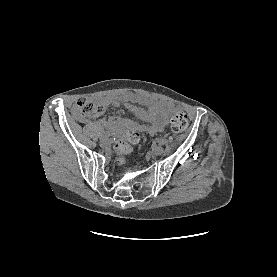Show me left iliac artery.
Returning a JSON list of instances; mask_svg holds the SVG:
<instances>
[{"label":"left iliac artery","mask_w":277,"mask_h":277,"mask_svg":"<svg viewBox=\"0 0 277 277\" xmlns=\"http://www.w3.org/2000/svg\"><path fill=\"white\" fill-rule=\"evenodd\" d=\"M167 143H168L167 139H164V138L159 139V144L160 145H166Z\"/></svg>","instance_id":"1"}]
</instances>
